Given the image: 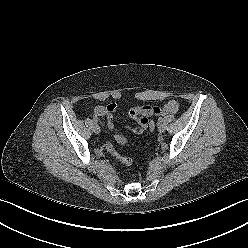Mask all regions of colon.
Wrapping results in <instances>:
<instances>
[{
	"label": "colon",
	"mask_w": 248,
	"mask_h": 248,
	"mask_svg": "<svg viewBox=\"0 0 248 248\" xmlns=\"http://www.w3.org/2000/svg\"><path fill=\"white\" fill-rule=\"evenodd\" d=\"M155 127H156L155 121L149 120L148 129L150 131H153ZM115 140L119 145H124L127 142L126 138L122 135H116ZM106 149L115 159H117L122 164L127 165V166L132 164V159L128 156H123L119 154L111 143H107Z\"/></svg>",
	"instance_id": "obj_1"
}]
</instances>
